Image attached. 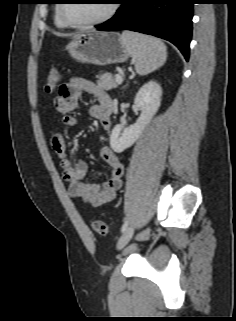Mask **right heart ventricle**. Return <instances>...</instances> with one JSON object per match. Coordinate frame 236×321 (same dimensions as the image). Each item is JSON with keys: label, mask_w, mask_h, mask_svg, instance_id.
<instances>
[{"label": "right heart ventricle", "mask_w": 236, "mask_h": 321, "mask_svg": "<svg viewBox=\"0 0 236 321\" xmlns=\"http://www.w3.org/2000/svg\"><path fill=\"white\" fill-rule=\"evenodd\" d=\"M54 21H55L56 26L59 27V28H65V27H67V25L62 21V19H61L60 16H59L58 7H57L56 10H55Z\"/></svg>", "instance_id": "e07e8e85"}]
</instances>
